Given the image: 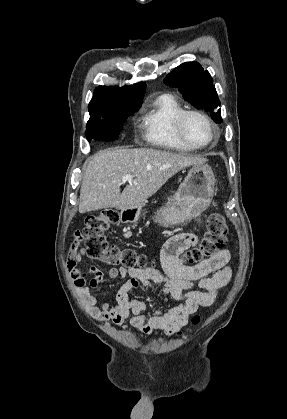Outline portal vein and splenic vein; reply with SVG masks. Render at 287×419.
<instances>
[{
  "label": "portal vein and splenic vein",
  "instance_id": "1",
  "mask_svg": "<svg viewBox=\"0 0 287 419\" xmlns=\"http://www.w3.org/2000/svg\"><path fill=\"white\" fill-rule=\"evenodd\" d=\"M122 182H132L133 176L131 174H127L125 176H123L122 178Z\"/></svg>",
  "mask_w": 287,
  "mask_h": 419
}]
</instances>
